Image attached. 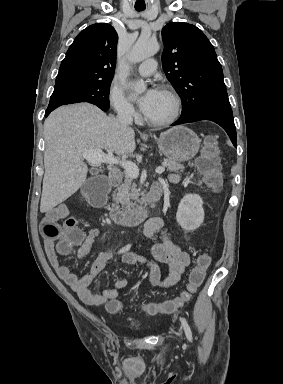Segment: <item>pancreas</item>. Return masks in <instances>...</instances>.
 <instances>
[{
  "mask_svg": "<svg viewBox=\"0 0 283 384\" xmlns=\"http://www.w3.org/2000/svg\"><path fill=\"white\" fill-rule=\"evenodd\" d=\"M164 168H167L168 172H183V164H177V162H170V160H164ZM109 178H120L121 186H116V192L113 194V208L121 210L122 216H128L131 212H134L135 206H137L140 196V190H137V184L133 182V178L127 176L125 172H120L117 168L110 170Z\"/></svg>",
  "mask_w": 283,
  "mask_h": 384,
  "instance_id": "obj_1",
  "label": "pancreas"
}]
</instances>
